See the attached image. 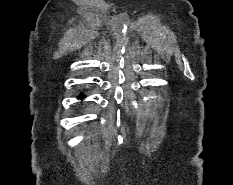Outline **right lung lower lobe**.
<instances>
[{"mask_svg": "<svg viewBox=\"0 0 233 185\" xmlns=\"http://www.w3.org/2000/svg\"><path fill=\"white\" fill-rule=\"evenodd\" d=\"M83 97H84V95H82V94H81V95H79V98H80V99H81V98H83Z\"/></svg>", "mask_w": 233, "mask_h": 185, "instance_id": "1", "label": "right lung lower lobe"}]
</instances>
